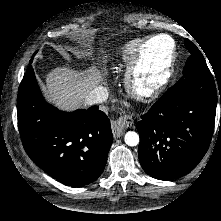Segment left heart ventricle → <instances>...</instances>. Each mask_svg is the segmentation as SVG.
Here are the masks:
<instances>
[{"label":"left heart ventricle","mask_w":221,"mask_h":221,"mask_svg":"<svg viewBox=\"0 0 221 221\" xmlns=\"http://www.w3.org/2000/svg\"><path fill=\"white\" fill-rule=\"evenodd\" d=\"M171 48L170 41L165 37H158L152 41L148 49L147 66L149 68L158 67L164 60Z\"/></svg>","instance_id":"obj_1"}]
</instances>
